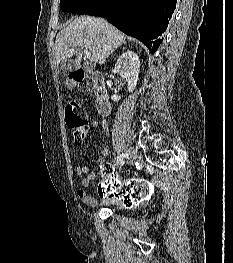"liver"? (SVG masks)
I'll return each instance as SVG.
<instances>
[{
	"instance_id": "obj_1",
	"label": "liver",
	"mask_w": 233,
	"mask_h": 263,
	"mask_svg": "<svg viewBox=\"0 0 233 263\" xmlns=\"http://www.w3.org/2000/svg\"><path fill=\"white\" fill-rule=\"evenodd\" d=\"M123 44L124 34L109 22L100 18L81 16L58 33L54 57L58 67L62 60L72 58L76 53L72 69L77 70L82 60L81 49H86L96 56L102 65L110 53ZM72 48L76 49L74 53H71Z\"/></svg>"
}]
</instances>
